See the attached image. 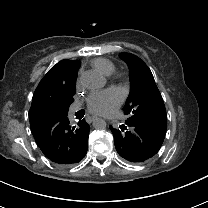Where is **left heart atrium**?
<instances>
[{
  "label": "left heart atrium",
  "mask_w": 208,
  "mask_h": 208,
  "mask_svg": "<svg viewBox=\"0 0 208 208\" xmlns=\"http://www.w3.org/2000/svg\"><path fill=\"white\" fill-rule=\"evenodd\" d=\"M114 106L111 98L99 94H91L86 99V107L89 112L96 115H107Z\"/></svg>",
  "instance_id": "39dd6f15"
}]
</instances>
